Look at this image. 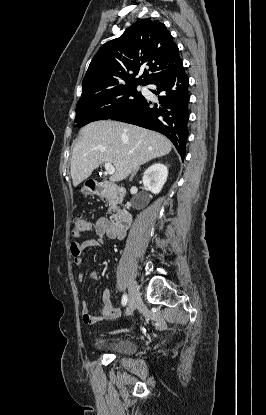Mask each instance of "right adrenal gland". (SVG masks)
Returning <instances> with one entry per match:
<instances>
[{
  "label": "right adrenal gland",
  "mask_w": 266,
  "mask_h": 415,
  "mask_svg": "<svg viewBox=\"0 0 266 415\" xmlns=\"http://www.w3.org/2000/svg\"><path fill=\"white\" fill-rule=\"evenodd\" d=\"M140 169V166L139 167H137L134 171H133V173L131 174V177H130V181H132L133 180V177L136 175V173H137V171Z\"/></svg>",
  "instance_id": "right-adrenal-gland-1"
}]
</instances>
